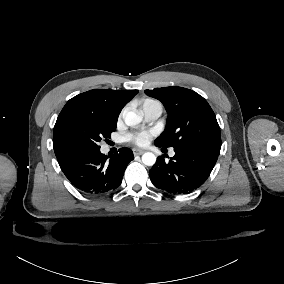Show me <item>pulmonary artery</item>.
<instances>
[{"label":"pulmonary artery","instance_id":"obj_1","mask_svg":"<svg viewBox=\"0 0 284 284\" xmlns=\"http://www.w3.org/2000/svg\"><path fill=\"white\" fill-rule=\"evenodd\" d=\"M144 121L153 124L155 123L162 114L163 107L160 101L158 100H147L141 107ZM171 155L174 154V151L171 150Z\"/></svg>","mask_w":284,"mask_h":284}]
</instances>
